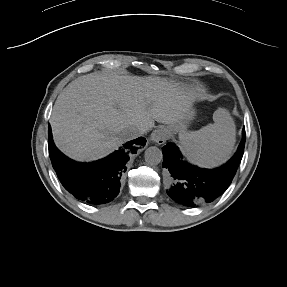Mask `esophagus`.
<instances>
[{
    "label": "esophagus",
    "instance_id": "obj_1",
    "mask_svg": "<svg viewBox=\"0 0 287 287\" xmlns=\"http://www.w3.org/2000/svg\"><path fill=\"white\" fill-rule=\"evenodd\" d=\"M168 139V132L165 128H157L151 134L150 140L158 145H162Z\"/></svg>",
    "mask_w": 287,
    "mask_h": 287
}]
</instances>
